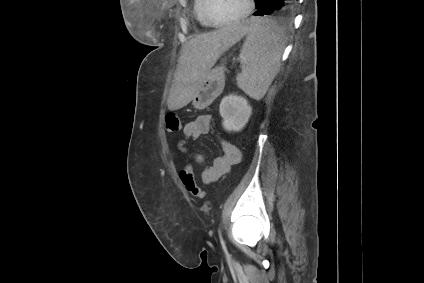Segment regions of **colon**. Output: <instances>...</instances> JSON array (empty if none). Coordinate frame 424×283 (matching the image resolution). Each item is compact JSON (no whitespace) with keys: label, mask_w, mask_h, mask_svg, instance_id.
I'll return each mask as SVG.
<instances>
[{"label":"colon","mask_w":424,"mask_h":283,"mask_svg":"<svg viewBox=\"0 0 424 283\" xmlns=\"http://www.w3.org/2000/svg\"><path fill=\"white\" fill-rule=\"evenodd\" d=\"M165 126L169 133H178L182 129V121L175 113H168L165 117ZM180 179L191 195L199 199L205 198L206 193L196 183L194 172L191 167H185L180 172Z\"/></svg>","instance_id":"colon-1"}]
</instances>
